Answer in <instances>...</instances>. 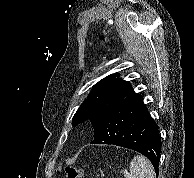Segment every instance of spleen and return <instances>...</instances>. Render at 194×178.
<instances>
[{
    "mask_svg": "<svg viewBox=\"0 0 194 178\" xmlns=\"http://www.w3.org/2000/svg\"><path fill=\"white\" fill-rule=\"evenodd\" d=\"M125 178H156L155 172L150 161L142 156H134L130 162L129 172L124 170Z\"/></svg>",
    "mask_w": 194,
    "mask_h": 178,
    "instance_id": "1",
    "label": "spleen"
}]
</instances>
